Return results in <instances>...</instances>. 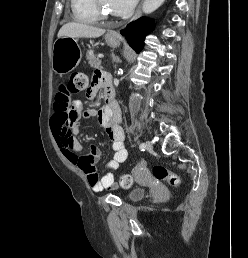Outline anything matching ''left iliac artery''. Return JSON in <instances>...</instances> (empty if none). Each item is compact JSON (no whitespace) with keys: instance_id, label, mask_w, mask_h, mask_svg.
<instances>
[{"instance_id":"44dca946","label":"left iliac artery","mask_w":248,"mask_h":258,"mask_svg":"<svg viewBox=\"0 0 248 258\" xmlns=\"http://www.w3.org/2000/svg\"><path fill=\"white\" fill-rule=\"evenodd\" d=\"M139 148H140L141 151H145L146 144L145 143H141Z\"/></svg>"}]
</instances>
